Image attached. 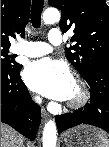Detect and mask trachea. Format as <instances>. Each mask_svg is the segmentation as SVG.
Segmentation results:
<instances>
[{
	"label": "trachea",
	"instance_id": "1",
	"mask_svg": "<svg viewBox=\"0 0 109 147\" xmlns=\"http://www.w3.org/2000/svg\"><path fill=\"white\" fill-rule=\"evenodd\" d=\"M44 0H33L31 9V23L34 28L41 25V13L43 11Z\"/></svg>",
	"mask_w": 109,
	"mask_h": 147
}]
</instances>
